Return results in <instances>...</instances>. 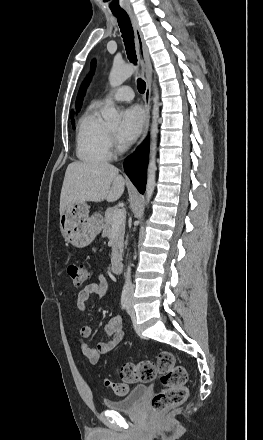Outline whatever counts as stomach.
<instances>
[{
  "label": "stomach",
  "instance_id": "obj_1",
  "mask_svg": "<svg viewBox=\"0 0 263 440\" xmlns=\"http://www.w3.org/2000/svg\"><path fill=\"white\" fill-rule=\"evenodd\" d=\"M101 226L97 215L89 216V206L85 202L69 204L60 215L63 236L79 248L89 245L99 234Z\"/></svg>",
  "mask_w": 263,
  "mask_h": 440
}]
</instances>
